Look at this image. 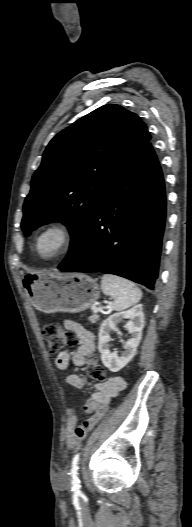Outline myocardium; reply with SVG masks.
<instances>
[{"instance_id": "myocardium-1", "label": "myocardium", "mask_w": 192, "mask_h": 527, "mask_svg": "<svg viewBox=\"0 0 192 527\" xmlns=\"http://www.w3.org/2000/svg\"><path fill=\"white\" fill-rule=\"evenodd\" d=\"M57 232L60 234V242L57 248L49 253L44 254L39 247L40 239L48 232ZM75 233L72 226L64 220H53L41 226L33 237L32 247L36 256L43 261H51L66 254L73 245Z\"/></svg>"}]
</instances>
